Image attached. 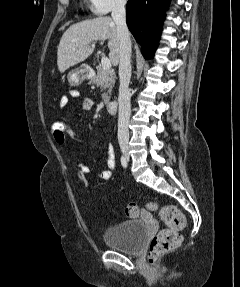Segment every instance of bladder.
<instances>
[{
  "label": "bladder",
  "mask_w": 240,
  "mask_h": 287,
  "mask_svg": "<svg viewBox=\"0 0 240 287\" xmlns=\"http://www.w3.org/2000/svg\"><path fill=\"white\" fill-rule=\"evenodd\" d=\"M148 237L142 220H129L108 228L103 235L105 244L126 254H138Z\"/></svg>",
  "instance_id": "obj_1"
}]
</instances>
